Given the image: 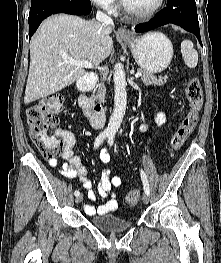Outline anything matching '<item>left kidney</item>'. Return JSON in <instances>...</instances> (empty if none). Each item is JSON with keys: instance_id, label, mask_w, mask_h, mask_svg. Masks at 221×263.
I'll return each mask as SVG.
<instances>
[{"instance_id": "1", "label": "left kidney", "mask_w": 221, "mask_h": 263, "mask_svg": "<svg viewBox=\"0 0 221 263\" xmlns=\"http://www.w3.org/2000/svg\"><path fill=\"white\" fill-rule=\"evenodd\" d=\"M156 124L161 127L166 122V115L163 112H160L155 117Z\"/></svg>"}]
</instances>
